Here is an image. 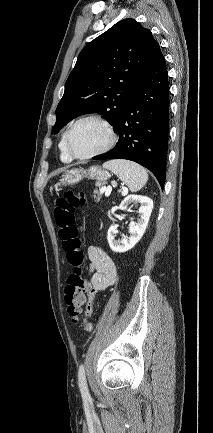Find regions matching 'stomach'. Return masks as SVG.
I'll list each match as a JSON object with an SVG mask.
<instances>
[{
	"instance_id": "obj_1",
	"label": "stomach",
	"mask_w": 213,
	"mask_h": 433,
	"mask_svg": "<svg viewBox=\"0 0 213 433\" xmlns=\"http://www.w3.org/2000/svg\"><path fill=\"white\" fill-rule=\"evenodd\" d=\"M84 177L96 179L99 182H105L109 178V173L99 166H93L89 170L75 168L68 171L57 186L74 185L80 182Z\"/></svg>"
}]
</instances>
